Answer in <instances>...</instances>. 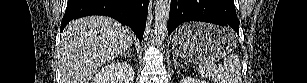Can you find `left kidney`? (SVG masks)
Here are the masks:
<instances>
[{
  "instance_id": "5707ae66",
  "label": "left kidney",
  "mask_w": 307,
  "mask_h": 83,
  "mask_svg": "<svg viewBox=\"0 0 307 83\" xmlns=\"http://www.w3.org/2000/svg\"><path fill=\"white\" fill-rule=\"evenodd\" d=\"M181 83H206V81L192 77H184L182 78Z\"/></svg>"
}]
</instances>
